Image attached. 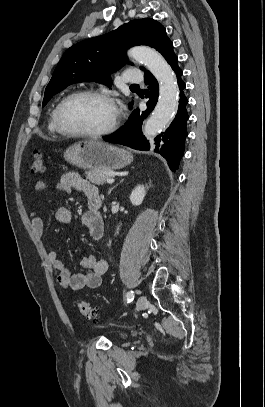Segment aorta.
I'll return each mask as SVG.
<instances>
[{
	"instance_id": "762f6f07",
	"label": "aorta",
	"mask_w": 265,
	"mask_h": 407,
	"mask_svg": "<svg viewBox=\"0 0 265 407\" xmlns=\"http://www.w3.org/2000/svg\"><path fill=\"white\" fill-rule=\"evenodd\" d=\"M128 54L133 60L144 63L159 82L158 102L144 126L145 136L151 137L164 129L177 111L179 101L177 79L170 65L155 50L134 47Z\"/></svg>"
}]
</instances>
